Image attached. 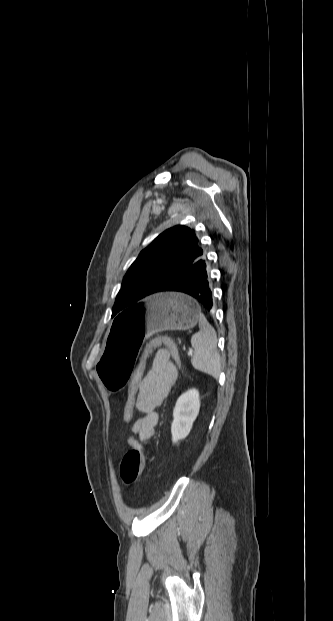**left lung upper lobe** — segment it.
Returning a JSON list of instances; mask_svg holds the SVG:
<instances>
[{"instance_id":"obj_1","label":"left lung upper lobe","mask_w":333,"mask_h":621,"mask_svg":"<svg viewBox=\"0 0 333 621\" xmlns=\"http://www.w3.org/2000/svg\"><path fill=\"white\" fill-rule=\"evenodd\" d=\"M206 256L195 231L183 225L167 229L142 250L123 278L112 317L139 304L176 275Z\"/></svg>"}]
</instances>
